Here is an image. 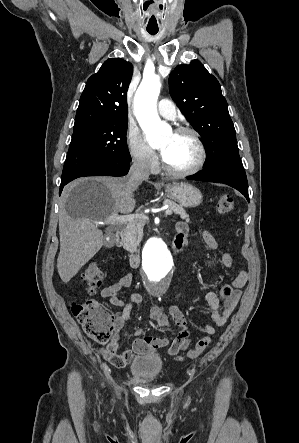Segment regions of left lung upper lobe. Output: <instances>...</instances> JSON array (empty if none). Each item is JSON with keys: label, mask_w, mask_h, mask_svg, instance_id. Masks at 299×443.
Masks as SVG:
<instances>
[{"label": "left lung upper lobe", "mask_w": 299, "mask_h": 443, "mask_svg": "<svg viewBox=\"0 0 299 443\" xmlns=\"http://www.w3.org/2000/svg\"><path fill=\"white\" fill-rule=\"evenodd\" d=\"M169 90L188 122L205 142L204 169L219 165L241 166L235 128L217 79L193 60L170 74Z\"/></svg>", "instance_id": "5c2ea615"}]
</instances>
